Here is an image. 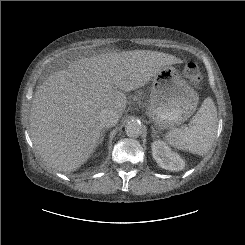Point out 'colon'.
<instances>
[{
    "label": "colon",
    "mask_w": 245,
    "mask_h": 245,
    "mask_svg": "<svg viewBox=\"0 0 245 245\" xmlns=\"http://www.w3.org/2000/svg\"><path fill=\"white\" fill-rule=\"evenodd\" d=\"M183 76L192 86H197L202 80L198 65L193 61H188L183 69Z\"/></svg>",
    "instance_id": "colon-1"
}]
</instances>
